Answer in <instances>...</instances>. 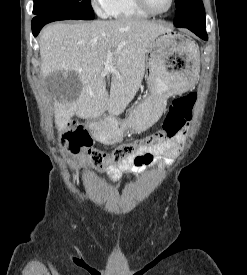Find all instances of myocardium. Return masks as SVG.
I'll list each match as a JSON object with an SVG mask.
<instances>
[{"label": "myocardium", "instance_id": "myocardium-1", "mask_svg": "<svg viewBox=\"0 0 247 275\" xmlns=\"http://www.w3.org/2000/svg\"><path fill=\"white\" fill-rule=\"evenodd\" d=\"M138 6L145 11L146 13H148L149 15H153V16H160V15H164L166 13H168L169 11H171V9L174 6L175 0H170V4L169 7L164 10V11H155L153 10L150 5L148 4L147 0H136Z\"/></svg>", "mask_w": 247, "mask_h": 275}]
</instances>
